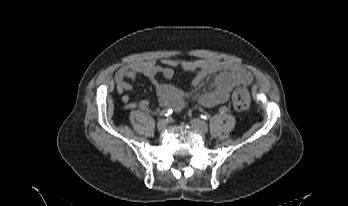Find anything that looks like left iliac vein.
Returning a JSON list of instances; mask_svg holds the SVG:
<instances>
[{"label":"left iliac vein","mask_w":348,"mask_h":206,"mask_svg":"<svg viewBox=\"0 0 348 206\" xmlns=\"http://www.w3.org/2000/svg\"><path fill=\"white\" fill-rule=\"evenodd\" d=\"M190 124H191V126H192L194 129H196V130H198V131H200V132H203V133L208 132V125H207V123H206L205 121H203V120H200V119H192V120L190 121Z\"/></svg>","instance_id":"1"}]
</instances>
